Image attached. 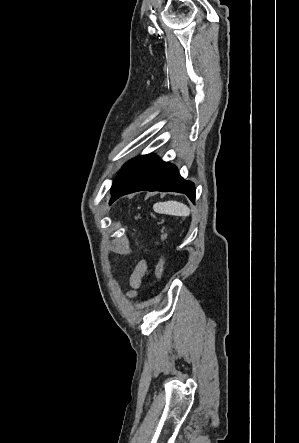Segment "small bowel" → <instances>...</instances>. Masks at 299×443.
I'll use <instances>...</instances> for the list:
<instances>
[{"instance_id":"obj_1","label":"small bowel","mask_w":299,"mask_h":443,"mask_svg":"<svg viewBox=\"0 0 299 443\" xmlns=\"http://www.w3.org/2000/svg\"><path fill=\"white\" fill-rule=\"evenodd\" d=\"M150 274V268L146 260H141L134 268L130 278L129 285L131 287V291L129 292V297L133 298L136 296V291L139 290L145 279Z\"/></svg>"}]
</instances>
